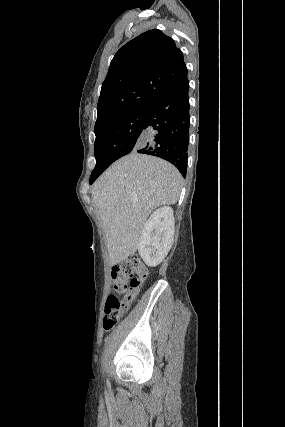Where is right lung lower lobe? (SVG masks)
<instances>
[{
  "label": "right lung lower lobe",
  "mask_w": 285,
  "mask_h": 427,
  "mask_svg": "<svg viewBox=\"0 0 285 427\" xmlns=\"http://www.w3.org/2000/svg\"><path fill=\"white\" fill-rule=\"evenodd\" d=\"M189 81L159 96L146 106V117L138 153L160 157L178 168L186 177L189 145ZM101 174L90 179L92 184Z\"/></svg>",
  "instance_id": "98d812e1"
}]
</instances>
